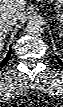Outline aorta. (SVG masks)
<instances>
[{
	"label": "aorta",
	"mask_w": 63,
	"mask_h": 107,
	"mask_svg": "<svg viewBox=\"0 0 63 107\" xmlns=\"http://www.w3.org/2000/svg\"><path fill=\"white\" fill-rule=\"evenodd\" d=\"M45 27L44 22L38 18H32L28 21L26 26V31L30 35L39 36L44 33Z\"/></svg>",
	"instance_id": "aorta-1"
}]
</instances>
